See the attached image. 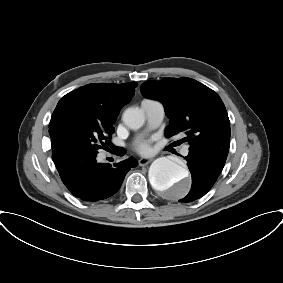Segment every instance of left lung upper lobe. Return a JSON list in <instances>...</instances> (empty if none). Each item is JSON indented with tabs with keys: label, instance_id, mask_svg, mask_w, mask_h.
<instances>
[{
	"label": "left lung upper lobe",
	"instance_id": "1",
	"mask_svg": "<svg viewBox=\"0 0 283 283\" xmlns=\"http://www.w3.org/2000/svg\"><path fill=\"white\" fill-rule=\"evenodd\" d=\"M145 97L160 100L170 125L166 136L185 134L189 154L209 165L224 167L230 145V121L217 93L188 78H163L141 86Z\"/></svg>",
	"mask_w": 283,
	"mask_h": 283
}]
</instances>
